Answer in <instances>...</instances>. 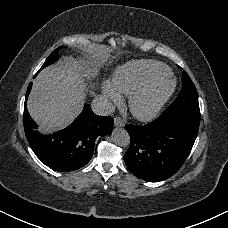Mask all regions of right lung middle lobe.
I'll use <instances>...</instances> for the list:
<instances>
[{
    "label": "right lung middle lobe",
    "mask_w": 228,
    "mask_h": 228,
    "mask_svg": "<svg viewBox=\"0 0 228 228\" xmlns=\"http://www.w3.org/2000/svg\"><path fill=\"white\" fill-rule=\"evenodd\" d=\"M62 47H59L57 49H55L50 55L49 57L46 59L45 63L42 65L41 69L51 65L52 63H54L57 59H58V51L59 49ZM39 72V71H38Z\"/></svg>",
    "instance_id": "right-lung-middle-lobe-1"
}]
</instances>
